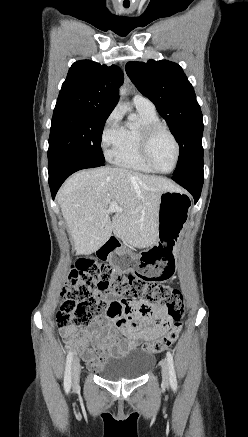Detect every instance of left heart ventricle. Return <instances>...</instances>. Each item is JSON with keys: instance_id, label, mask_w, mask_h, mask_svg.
Masks as SVG:
<instances>
[{"instance_id": "1", "label": "left heart ventricle", "mask_w": 248, "mask_h": 437, "mask_svg": "<svg viewBox=\"0 0 248 437\" xmlns=\"http://www.w3.org/2000/svg\"><path fill=\"white\" fill-rule=\"evenodd\" d=\"M176 149L171 137L164 131L158 132L151 143L150 155L155 166L163 171L174 164Z\"/></svg>"}]
</instances>
